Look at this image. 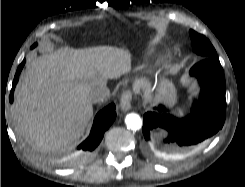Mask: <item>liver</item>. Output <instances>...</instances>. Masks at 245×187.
Returning <instances> with one entry per match:
<instances>
[{"mask_svg": "<svg viewBox=\"0 0 245 187\" xmlns=\"http://www.w3.org/2000/svg\"><path fill=\"white\" fill-rule=\"evenodd\" d=\"M130 69L129 51L112 46L62 47L30 60L15 90L17 130L44 149L69 146L93 116L90 92Z\"/></svg>", "mask_w": 245, "mask_h": 187, "instance_id": "obj_1", "label": "liver"}]
</instances>
